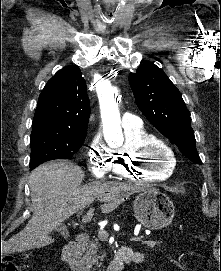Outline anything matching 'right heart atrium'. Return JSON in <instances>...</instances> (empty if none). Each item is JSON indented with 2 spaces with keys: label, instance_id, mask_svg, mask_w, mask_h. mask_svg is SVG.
<instances>
[{
  "label": "right heart atrium",
  "instance_id": "1",
  "mask_svg": "<svg viewBox=\"0 0 221 271\" xmlns=\"http://www.w3.org/2000/svg\"><path fill=\"white\" fill-rule=\"evenodd\" d=\"M93 149L94 151H90L89 154L94 157H87L89 170H94L96 177H105L106 173H113L110 168L119 154H113L112 151H103V146H94Z\"/></svg>",
  "mask_w": 221,
  "mask_h": 271
}]
</instances>
